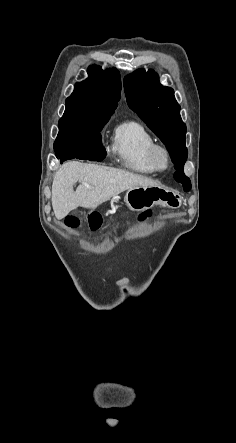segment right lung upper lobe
Returning <instances> with one entry per match:
<instances>
[{"label": "right lung upper lobe", "instance_id": "obj_1", "mask_svg": "<svg viewBox=\"0 0 236 443\" xmlns=\"http://www.w3.org/2000/svg\"><path fill=\"white\" fill-rule=\"evenodd\" d=\"M89 77L75 85L74 92L66 99L65 112L112 115L120 99L121 78L116 68L102 70L92 65L87 69Z\"/></svg>", "mask_w": 236, "mask_h": 443}]
</instances>
